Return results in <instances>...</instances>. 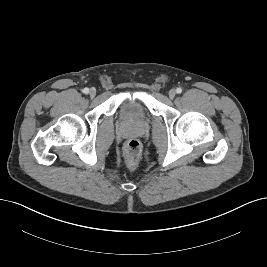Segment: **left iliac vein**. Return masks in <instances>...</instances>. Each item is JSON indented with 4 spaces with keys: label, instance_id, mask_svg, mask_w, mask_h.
I'll list each match as a JSON object with an SVG mask.
<instances>
[{
    "label": "left iliac vein",
    "instance_id": "left-iliac-vein-1",
    "mask_svg": "<svg viewBox=\"0 0 267 267\" xmlns=\"http://www.w3.org/2000/svg\"><path fill=\"white\" fill-rule=\"evenodd\" d=\"M168 95H169L170 99H173L175 97V95H176V91L174 89H171L169 91Z\"/></svg>",
    "mask_w": 267,
    "mask_h": 267
}]
</instances>
